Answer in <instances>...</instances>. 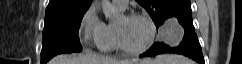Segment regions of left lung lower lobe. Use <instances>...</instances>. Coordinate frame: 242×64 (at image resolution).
<instances>
[{
  "instance_id": "1",
  "label": "left lung lower lobe",
  "mask_w": 242,
  "mask_h": 64,
  "mask_svg": "<svg viewBox=\"0 0 242 64\" xmlns=\"http://www.w3.org/2000/svg\"><path fill=\"white\" fill-rule=\"evenodd\" d=\"M172 18L178 20L179 24L184 28V37L178 47H170L164 42H155L153 46L141 54L140 57L155 56L163 53H177L185 55L199 64H205L202 49L195 33L192 21V10H184L177 13Z\"/></svg>"
}]
</instances>
